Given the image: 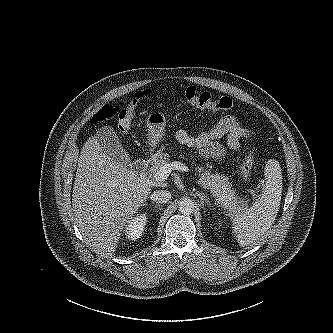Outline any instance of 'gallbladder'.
Segmentation results:
<instances>
[{
  "label": "gallbladder",
  "instance_id": "obj_1",
  "mask_svg": "<svg viewBox=\"0 0 333 333\" xmlns=\"http://www.w3.org/2000/svg\"><path fill=\"white\" fill-rule=\"evenodd\" d=\"M95 137L105 154L112 157L123 166L133 168L129 154L123 148L116 132L112 127H102L96 132Z\"/></svg>",
  "mask_w": 333,
  "mask_h": 333
}]
</instances>
